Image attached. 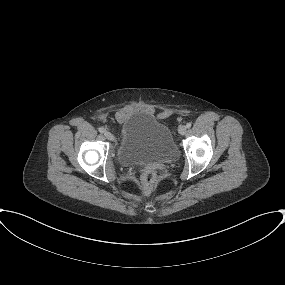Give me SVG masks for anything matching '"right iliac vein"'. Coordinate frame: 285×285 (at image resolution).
Segmentation results:
<instances>
[{
  "label": "right iliac vein",
  "instance_id": "right-iliac-vein-1",
  "mask_svg": "<svg viewBox=\"0 0 285 285\" xmlns=\"http://www.w3.org/2000/svg\"><path fill=\"white\" fill-rule=\"evenodd\" d=\"M104 135H105V137H106L108 140H110V141L114 140V136H113V134H112L111 132L105 131V132H104Z\"/></svg>",
  "mask_w": 285,
  "mask_h": 285
}]
</instances>
